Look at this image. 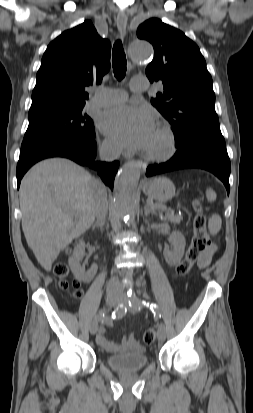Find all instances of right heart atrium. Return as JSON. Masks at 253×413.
I'll return each instance as SVG.
<instances>
[{
	"instance_id": "right-heart-atrium-1",
	"label": "right heart atrium",
	"mask_w": 253,
	"mask_h": 413,
	"mask_svg": "<svg viewBox=\"0 0 253 413\" xmlns=\"http://www.w3.org/2000/svg\"><path fill=\"white\" fill-rule=\"evenodd\" d=\"M100 151L106 157H113L119 154L120 147L113 140L106 138L102 141L100 145Z\"/></svg>"
}]
</instances>
